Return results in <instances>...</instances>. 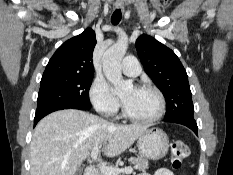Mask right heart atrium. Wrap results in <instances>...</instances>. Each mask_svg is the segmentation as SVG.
Instances as JSON below:
<instances>
[{"label": "right heart atrium", "instance_id": "d8ad5b80", "mask_svg": "<svg viewBox=\"0 0 233 175\" xmlns=\"http://www.w3.org/2000/svg\"><path fill=\"white\" fill-rule=\"evenodd\" d=\"M89 99L95 110L106 116H114L121 104L108 83L99 77H96L90 85Z\"/></svg>", "mask_w": 233, "mask_h": 175}]
</instances>
